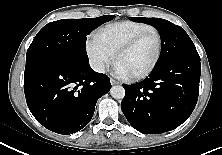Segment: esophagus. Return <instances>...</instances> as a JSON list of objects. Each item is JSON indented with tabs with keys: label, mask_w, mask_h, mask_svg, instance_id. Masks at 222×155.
<instances>
[{
	"label": "esophagus",
	"mask_w": 222,
	"mask_h": 155,
	"mask_svg": "<svg viewBox=\"0 0 222 155\" xmlns=\"http://www.w3.org/2000/svg\"><path fill=\"white\" fill-rule=\"evenodd\" d=\"M110 82H111L112 85L118 84V82L115 79H113V78L110 79Z\"/></svg>",
	"instance_id": "34e87169"
}]
</instances>
